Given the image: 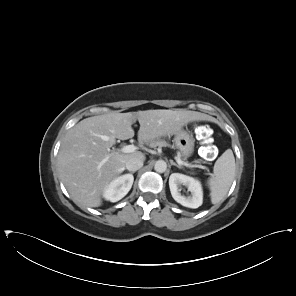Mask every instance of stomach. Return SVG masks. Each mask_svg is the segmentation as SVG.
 <instances>
[{
  "label": "stomach",
  "mask_w": 296,
  "mask_h": 296,
  "mask_svg": "<svg viewBox=\"0 0 296 296\" xmlns=\"http://www.w3.org/2000/svg\"><path fill=\"white\" fill-rule=\"evenodd\" d=\"M174 135L175 145L181 152L182 156L185 158L190 157L194 151V139L192 135L182 129L176 132Z\"/></svg>",
  "instance_id": "stomach-1"
}]
</instances>
